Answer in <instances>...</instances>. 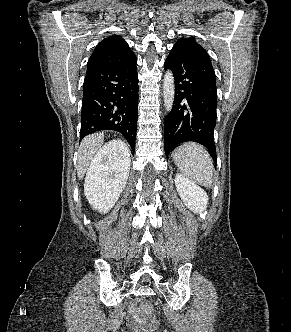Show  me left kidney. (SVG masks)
Returning <instances> with one entry per match:
<instances>
[{
  "label": "left kidney",
  "mask_w": 291,
  "mask_h": 332,
  "mask_svg": "<svg viewBox=\"0 0 291 332\" xmlns=\"http://www.w3.org/2000/svg\"><path fill=\"white\" fill-rule=\"evenodd\" d=\"M175 185L181 199L190 210L194 213H205L209 198L200 186L181 174H176Z\"/></svg>",
  "instance_id": "left-kidney-1"
}]
</instances>
